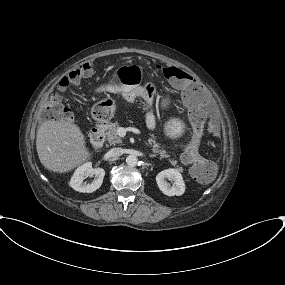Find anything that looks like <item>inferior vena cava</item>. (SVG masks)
Returning <instances> with one entry per match:
<instances>
[{
    "label": "inferior vena cava",
    "mask_w": 285,
    "mask_h": 285,
    "mask_svg": "<svg viewBox=\"0 0 285 285\" xmlns=\"http://www.w3.org/2000/svg\"><path fill=\"white\" fill-rule=\"evenodd\" d=\"M108 153L111 157H118L123 154V149L119 147H115V148L110 149Z\"/></svg>",
    "instance_id": "obj_1"
}]
</instances>
